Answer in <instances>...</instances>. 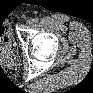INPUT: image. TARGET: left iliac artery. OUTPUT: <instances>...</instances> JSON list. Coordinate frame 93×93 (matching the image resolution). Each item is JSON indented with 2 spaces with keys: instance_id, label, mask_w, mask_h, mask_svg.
Returning <instances> with one entry per match:
<instances>
[{
  "instance_id": "obj_1",
  "label": "left iliac artery",
  "mask_w": 93,
  "mask_h": 93,
  "mask_svg": "<svg viewBox=\"0 0 93 93\" xmlns=\"http://www.w3.org/2000/svg\"><path fill=\"white\" fill-rule=\"evenodd\" d=\"M39 21V19L37 18V17H35L34 19H33V22L34 23H37Z\"/></svg>"
}]
</instances>
